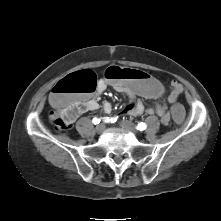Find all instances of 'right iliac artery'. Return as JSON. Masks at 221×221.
<instances>
[{
  "mask_svg": "<svg viewBox=\"0 0 221 221\" xmlns=\"http://www.w3.org/2000/svg\"><path fill=\"white\" fill-rule=\"evenodd\" d=\"M116 120V119H115ZM114 120V121H115ZM93 123L96 125V124H99L100 123V119L99 118H97V117H95L94 119H93Z\"/></svg>",
  "mask_w": 221,
  "mask_h": 221,
  "instance_id": "obj_1",
  "label": "right iliac artery"
}]
</instances>
